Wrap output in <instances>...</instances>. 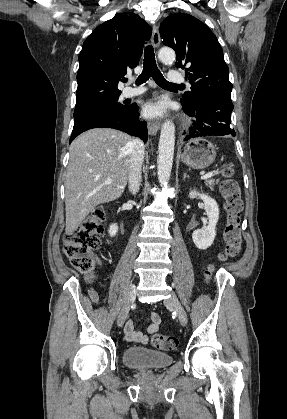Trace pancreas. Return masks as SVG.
<instances>
[{"label": "pancreas", "mask_w": 287, "mask_h": 419, "mask_svg": "<svg viewBox=\"0 0 287 419\" xmlns=\"http://www.w3.org/2000/svg\"><path fill=\"white\" fill-rule=\"evenodd\" d=\"M205 185L207 187H209L211 190H213V187L215 185V180H213V179L206 180L205 181Z\"/></svg>", "instance_id": "obj_1"}]
</instances>
